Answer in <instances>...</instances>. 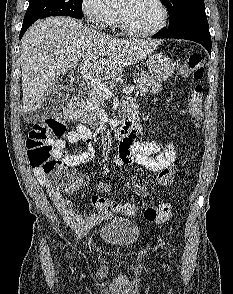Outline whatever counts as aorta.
I'll return each mask as SVG.
<instances>
[{"label":"aorta","mask_w":233,"mask_h":294,"mask_svg":"<svg viewBox=\"0 0 233 294\" xmlns=\"http://www.w3.org/2000/svg\"><path fill=\"white\" fill-rule=\"evenodd\" d=\"M119 1L121 0H105V3L107 5H114V4H117Z\"/></svg>","instance_id":"aorta-1"}]
</instances>
